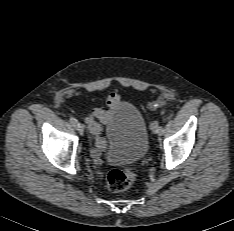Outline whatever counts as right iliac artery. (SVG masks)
I'll return each mask as SVG.
<instances>
[{"mask_svg": "<svg viewBox=\"0 0 234 231\" xmlns=\"http://www.w3.org/2000/svg\"><path fill=\"white\" fill-rule=\"evenodd\" d=\"M70 122H71V124L76 128L77 126H78V121H77V119L76 118H74V117H71L70 118Z\"/></svg>", "mask_w": 234, "mask_h": 231, "instance_id": "right-iliac-artery-1", "label": "right iliac artery"}]
</instances>
